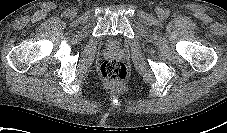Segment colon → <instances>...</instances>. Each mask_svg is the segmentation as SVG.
I'll list each match as a JSON object with an SVG mask.
<instances>
[{"instance_id": "5ec220e1", "label": "colon", "mask_w": 227, "mask_h": 133, "mask_svg": "<svg viewBox=\"0 0 227 133\" xmlns=\"http://www.w3.org/2000/svg\"><path fill=\"white\" fill-rule=\"evenodd\" d=\"M99 73L103 80L111 83H123L128 77L127 67L116 59L104 61L100 66Z\"/></svg>"}]
</instances>
